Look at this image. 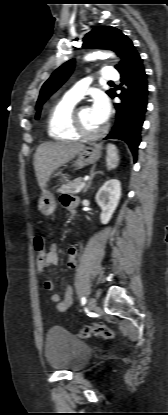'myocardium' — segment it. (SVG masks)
<instances>
[{
  "label": "myocardium",
  "instance_id": "f54148a6",
  "mask_svg": "<svg viewBox=\"0 0 168 415\" xmlns=\"http://www.w3.org/2000/svg\"><path fill=\"white\" fill-rule=\"evenodd\" d=\"M83 106H85V105L78 106V107L74 108V110H73L72 123H73L74 130L76 131V133L80 137H83V138H86V139H96V138L101 137L106 132L107 126H102L99 130L94 131V132L88 131L84 127V125H83V123L80 119V116H79V110Z\"/></svg>",
  "mask_w": 168,
  "mask_h": 415
}]
</instances>
